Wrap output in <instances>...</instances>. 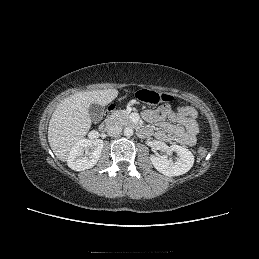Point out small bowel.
Returning <instances> with one entry per match:
<instances>
[{
  "instance_id": "small-bowel-1",
  "label": "small bowel",
  "mask_w": 259,
  "mask_h": 259,
  "mask_svg": "<svg viewBox=\"0 0 259 259\" xmlns=\"http://www.w3.org/2000/svg\"><path fill=\"white\" fill-rule=\"evenodd\" d=\"M142 116L157 127L155 135L159 140L173 141L185 146L195 145L200 125L194 108L183 106L176 112L165 108L148 109L143 111Z\"/></svg>"
}]
</instances>
